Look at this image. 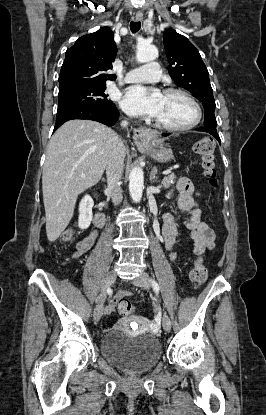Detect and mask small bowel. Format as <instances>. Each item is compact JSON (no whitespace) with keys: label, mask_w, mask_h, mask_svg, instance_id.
<instances>
[{"label":"small bowel","mask_w":266,"mask_h":415,"mask_svg":"<svg viewBox=\"0 0 266 415\" xmlns=\"http://www.w3.org/2000/svg\"><path fill=\"white\" fill-rule=\"evenodd\" d=\"M176 190L179 193L178 207L184 212L191 214L190 219L184 222L185 228L188 230L191 238L194 240V253L203 254L206 251L212 250L214 247L215 234L207 223L201 219V210L198 202L194 196V186L192 182L186 178L181 177L177 181ZM177 235V226L169 213L163 215L162 236L166 249L170 252L171 260H177V254L172 251ZM97 238V233L92 232L76 245V250L73 258L77 259L85 254L94 244ZM128 295V292L118 293L110 302L107 313H112L116 307L117 302Z\"/></svg>","instance_id":"obj_1"}]
</instances>
